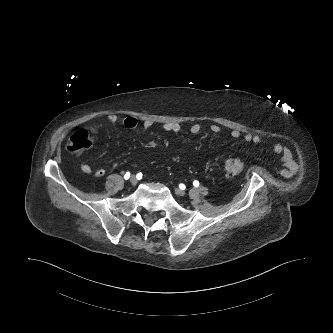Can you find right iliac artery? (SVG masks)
<instances>
[{"label":"right iliac artery","mask_w":333,"mask_h":333,"mask_svg":"<svg viewBox=\"0 0 333 333\" xmlns=\"http://www.w3.org/2000/svg\"><path fill=\"white\" fill-rule=\"evenodd\" d=\"M130 177V172H127L125 175H124V179L128 180Z\"/></svg>","instance_id":"1"}]
</instances>
